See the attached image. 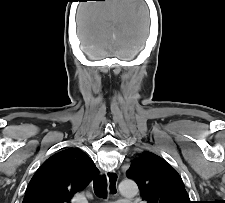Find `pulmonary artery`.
I'll return each mask as SVG.
<instances>
[{
  "label": "pulmonary artery",
  "instance_id": "obj_1",
  "mask_svg": "<svg viewBox=\"0 0 225 203\" xmlns=\"http://www.w3.org/2000/svg\"><path fill=\"white\" fill-rule=\"evenodd\" d=\"M129 202H130L129 200H120L117 203H129Z\"/></svg>",
  "mask_w": 225,
  "mask_h": 203
}]
</instances>
